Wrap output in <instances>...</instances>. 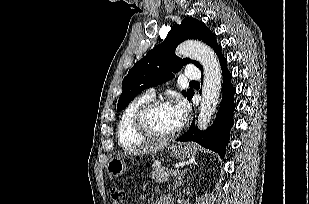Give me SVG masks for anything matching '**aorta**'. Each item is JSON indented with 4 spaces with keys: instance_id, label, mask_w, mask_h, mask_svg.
<instances>
[{
    "instance_id": "762f6f07",
    "label": "aorta",
    "mask_w": 309,
    "mask_h": 204,
    "mask_svg": "<svg viewBox=\"0 0 309 204\" xmlns=\"http://www.w3.org/2000/svg\"><path fill=\"white\" fill-rule=\"evenodd\" d=\"M179 55L201 63L204 70L202 100L200 104L198 127L206 129L219 101L222 72L215 52L206 44L198 41H185L178 46Z\"/></svg>"
}]
</instances>
